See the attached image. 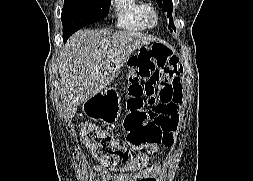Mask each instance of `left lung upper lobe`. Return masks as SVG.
<instances>
[{"instance_id": "left-lung-upper-lobe-1", "label": "left lung upper lobe", "mask_w": 253, "mask_h": 181, "mask_svg": "<svg viewBox=\"0 0 253 181\" xmlns=\"http://www.w3.org/2000/svg\"><path fill=\"white\" fill-rule=\"evenodd\" d=\"M156 1L157 4L167 13V17L169 18V24L175 30L176 28L173 24L172 18V11H173L172 0H156ZM168 28H170V26H168ZM170 31H172V29Z\"/></svg>"}]
</instances>
